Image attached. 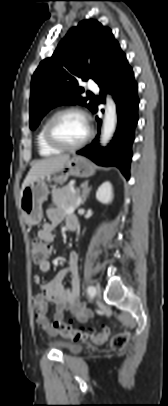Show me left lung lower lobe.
<instances>
[{"label": "left lung lower lobe", "mask_w": 168, "mask_h": 406, "mask_svg": "<svg viewBox=\"0 0 168 406\" xmlns=\"http://www.w3.org/2000/svg\"><path fill=\"white\" fill-rule=\"evenodd\" d=\"M98 85L102 98H105V94L109 92L116 102L118 113L117 130L112 143L106 149H101L98 146L97 136L90 145L77 151V154L84 155L99 165L116 166L129 179L132 158L131 146L134 140V129L138 121L139 99L133 70L122 51L117 54L108 66ZM92 112H97L96 105ZM96 119L100 126L101 120Z\"/></svg>", "instance_id": "obj_1"}]
</instances>
